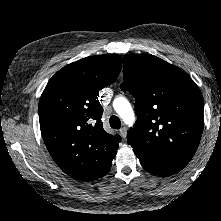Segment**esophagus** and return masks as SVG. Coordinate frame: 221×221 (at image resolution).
Instances as JSON below:
<instances>
[{"label":"esophagus","mask_w":221,"mask_h":221,"mask_svg":"<svg viewBox=\"0 0 221 221\" xmlns=\"http://www.w3.org/2000/svg\"><path fill=\"white\" fill-rule=\"evenodd\" d=\"M119 133L122 138H125L126 137V127L121 128Z\"/></svg>","instance_id":"esophagus-1"}]
</instances>
